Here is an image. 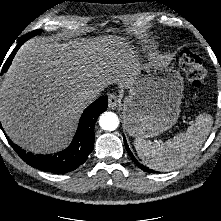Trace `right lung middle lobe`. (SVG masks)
<instances>
[{
    "mask_svg": "<svg viewBox=\"0 0 221 221\" xmlns=\"http://www.w3.org/2000/svg\"><path fill=\"white\" fill-rule=\"evenodd\" d=\"M41 31H35L32 33V36L36 35L37 33H40Z\"/></svg>",
    "mask_w": 221,
    "mask_h": 221,
    "instance_id": "obj_1",
    "label": "right lung middle lobe"
}]
</instances>
